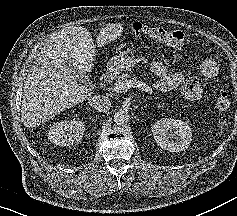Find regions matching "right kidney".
Instances as JSON below:
<instances>
[{
    "label": "right kidney",
    "instance_id": "ca27d5eb",
    "mask_svg": "<svg viewBox=\"0 0 237 216\" xmlns=\"http://www.w3.org/2000/svg\"><path fill=\"white\" fill-rule=\"evenodd\" d=\"M60 128H61V126H58V128H56V132H55V133H57V130H60ZM50 131H51V129H50ZM56 136L58 137V135H56ZM80 137H81V135L78 134V136H76V139H78V138H80ZM58 139H60V138L58 137ZM52 140H55V141H56L55 138H53Z\"/></svg>",
    "mask_w": 237,
    "mask_h": 216
}]
</instances>
